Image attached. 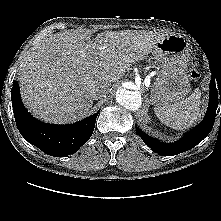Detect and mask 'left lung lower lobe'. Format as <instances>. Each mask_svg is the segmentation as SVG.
Wrapping results in <instances>:
<instances>
[{"mask_svg":"<svg viewBox=\"0 0 221 221\" xmlns=\"http://www.w3.org/2000/svg\"><path fill=\"white\" fill-rule=\"evenodd\" d=\"M219 102L221 104V86L220 84L216 85L215 77L213 76L210 82L209 106L203 121L190 132L186 133L179 141L172 144L162 143L157 139L148 136L138 127H136V133L153 152L162 156L177 155L192 149L210 133L214 124L216 109Z\"/></svg>","mask_w":221,"mask_h":221,"instance_id":"left-lung-lower-lobe-1","label":"left lung lower lobe"}]
</instances>
